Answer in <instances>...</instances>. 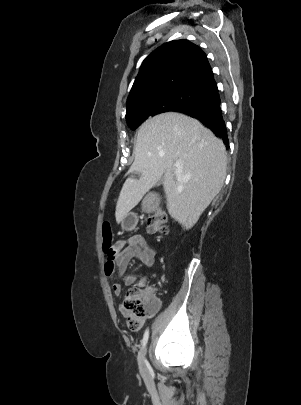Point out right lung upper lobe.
I'll return each mask as SVG.
<instances>
[{"mask_svg": "<svg viewBox=\"0 0 301 405\" xmlns=\"http://www.w3.org/2000/svg\"><path fill=\"white\" fill-rule=\"evenodd\" d=\"M178 87L212 96L218 92L205 53L188 40L167 42L143 61L127 99V111L146 96Z\"/></svg>", "mask_w": 301, "mask_h": 405, "instance_id": "1", "label": "right lung upper lobe"}]
</instances>
